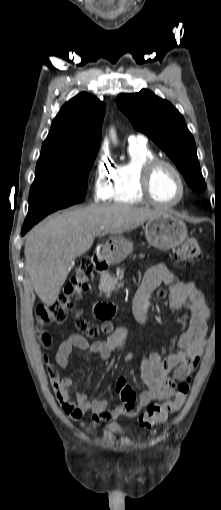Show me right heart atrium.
Masks as SVG:
<instances>
[{"label": "right heart atrium", "instance_id": "right-heart-atrium-1", "mask_svg": "<svg viewBox=\"0 0 221 510\" xmlns=\"http://www.w3.org/2000/svg\"><path fill=\"white\" fill-rule=\"evenodd\" d=\"M114 177V167L108 155L101 151L96 159L93 176V195L96 201L106 202L110 199Z\"/></svg>", "mask_w": 221, "mask_h": 510}]
</instances>
